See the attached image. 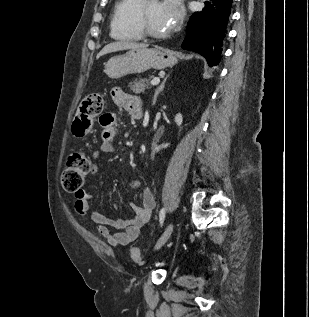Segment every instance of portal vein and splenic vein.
Returning <instances> with one entry per match:
<instances>
[{
  "instance_id": "obj_1",
  "label": "portal vein and splenic vein",
  "mask_w": 309,
  "mask_h": 317,
  "mask_svg": "<svg viewBox=\"0 0 309 317\" xmlns=\"http://www.w3.org/2000/svg\"><path fill=\"white\" fill-rule=\"evenodd\" d=\"M159 82H160V79H159L158 77H156V78H154V79L151 81V84H152V85H157V84H159Z\"/></svg>"
}]
</instances>
